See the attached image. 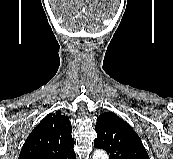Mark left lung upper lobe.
I'll return each mask as SVG.
<instances>
[{
  "instance_id": "5c2ea615",
  "label": "left lung upper lobe",
  "mask_w": 173,
  "mask_h": 159,
  "mask_svg": "<svg viewBox=\"0 0 173 159\" xmlns=\"http://www.w3.org/2000/svg\"><path fill=\"white\" fill-rule=\"evenodd\" d=\"M95 147L104 149L109 159H149L140 137L115 113L101 114L95 126Z\"/></svg>"
}]
</instances>
